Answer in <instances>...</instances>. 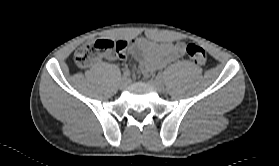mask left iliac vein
Listing matches in <instances>:
<instances>
[{
	"mask_svg": "<svg viewBox=\"0 0 279 166\" xmlns=\"http://www.w3.org/2000/svg\"><path fill=\"white\" fill-rule=\"evenodd\" d=\"M151 85L160 93L165 91V87L160 79H153L150 81Z\"/></svg>",
	"mask_w": 279,
	"mask_h": 166,
	"instance_id": "4c4485c4",
	"label": "left iliac vein"
}]
</instances>
